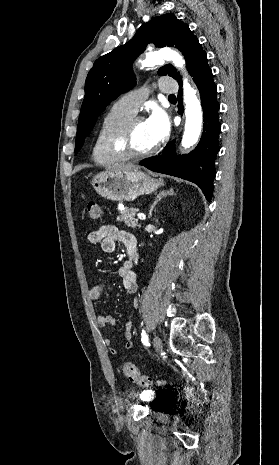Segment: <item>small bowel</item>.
<instances>
[{"mask_svg": "<svg viewBox=\"0 0 279 465\" xmlns=\"http://www.w3.org/2000/svg\"><path fill=\"white\" fill-rule=\"evenodd\" d=\"M88 241L91 244H100L102 250L106 253L115 251L116 244L122 243L128 255V259L118 269V276L121 278L124 288L127 292L132 293L137 290L138 274L135 271V266L138 261L139 253L137 249V241L134 235L119 229L114 225H103L88 235ZM105 285L97 284L89 289V297L97 301L102 297ZM97 323L100 327L113 326L116 319L110 314H102L97 317ZM133 326L130 320H126L124 325V347L129 350L133 347L132 343ZM104 343L109 347V352L112 355L117 354V350L111 347V339L105 338Z\"/></svg>", "mask_w": 279, "mask_h": 465, "instance_id": "1", "label": "small bowel"}]
</instances>
